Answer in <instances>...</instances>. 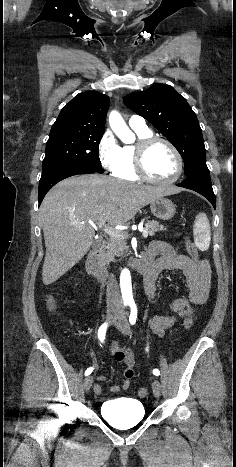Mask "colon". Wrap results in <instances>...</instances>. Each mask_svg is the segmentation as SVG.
<instances>
[{
    "mask_svg": "<svg viewBox=\"0 0 236 467\" xmlns=\"http://www.w3.org/2000/svg\"><path fill=\"white\" fill-rule=\"evenodd\" d=\"M184 244H185V247H186V250L188 252V254L194 259V260H198L199 258V254H198V250L196 248V246L190 241L189 237L187 235H185L184 237ZM48 304H49V307L50 309H54L55 308V299L53 297H50L48 299ZM193 325V320L190 316H188L185 320H184V327L186 329H190ZM124 356L122 353H118L116 354L115 356V359H122ZM147 390L146 388H141L139 390V395L140 396H144L146 394Z\"/></svg>",
    "mask_w": 236,
    "mask_h": 467,
    "instance_id": "5ec220e1",
    "label": "colon"
}]
</instances>
